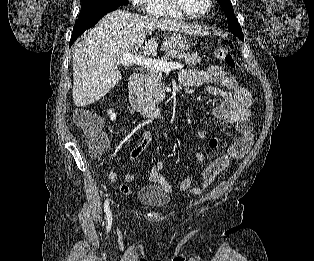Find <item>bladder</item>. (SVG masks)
<instances>
[{"label": "bladder", "instance_id": "obj_1", "mask_svg": "<svg viewBox=\"0 0 314 261\" xmlns=\"http://www.w3.org/2000/svg\"><path fill=\"white\" fill-rule=\"evenodd\" d=\"M136 199L154 208H162L170 203V195L154 185L142 187L136 194Z\"/></svg>", "mask_w": 314, "mask_h": 261}]
</instances>
